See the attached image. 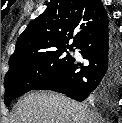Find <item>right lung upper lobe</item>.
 Segmentation results:
<instances>
[{
	"instance_id": "obj_1",
	"label": "right lung upper lobe",
	"mask_w": 122,
	"mask_h": 123,
	"mask_svg": "<svg viewBox=\"0 0 122 123\" xmlns=\"http://www.w3.org/2000/svg\"><path fill=\"white\" fill-rule=\"evenodd\" d=\"M109 23L100 0H51L16 42L9 65L27 57L78 48L92 33ZM74 38L71 45L69 40Z\"/></svg>"
}]
</instances>
